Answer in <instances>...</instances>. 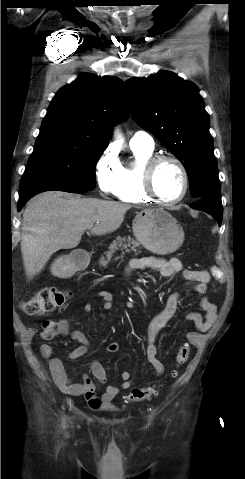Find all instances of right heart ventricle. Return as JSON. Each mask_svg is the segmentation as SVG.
<instances>
[{
	"label": "right heart ventricle",
	"instance_id": "1",
	"mask_svg": "<svg viewBox=\"0 0 245 479\" xmlns=\"http://www.w3.org/2000/svg\"><path fill=\"white\" fill-rule=\"evenodd\" d=\"M135 161L122 167L116 196L122 202L146 203L151 199L142 188V172L145 163L154 156V149L131 146Z\"/></svg>",
	"mask_w": 245,
	"mask_h": 479
}]
</instances>
